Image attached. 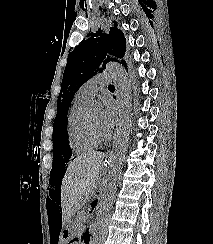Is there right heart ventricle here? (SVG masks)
I'll return each instance as SVG.
<instances>
[{
  "mask_svg": "<svg viewBox=\"0 0 213 244\" xmlns=\"http://www.w3.org/2000/svg\"><path fill=\"white\" fill-rule=\"evenodd\" d=\"M89 100L76 94L67 116V134L71 149L85 153L97 148L98 142L90 135L86 123V106Z\"/></svg>",
  "mask_w": 213,
  "mask_h": 244,
  "instance_id": "1",
  "label": "right heart ventricle"
}]
</instances>
